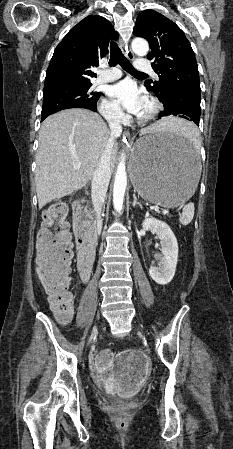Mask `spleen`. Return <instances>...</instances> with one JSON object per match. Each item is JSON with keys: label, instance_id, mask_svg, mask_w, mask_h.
Masks as SVG:
<instances>
[{"label": "spleen", "instance_id": "1", "mask_svg": "<svg viewBox=\"0 0 233 449\" xmlns=\"http://www.w3.org/2000/svg\"><path fill=\"white\" fill-rule=\"evenodd\" d=\"M172 133H179L183 135L182 139L186 142H193V145L197 148L200 139L199 133L195 130V125H175V131ZM194 217V204L192 202L184 205L182 215L179 218V222L186 226Z\"/></svg>", "mask_w": 233, "mask_h": 449}]
</instances>
